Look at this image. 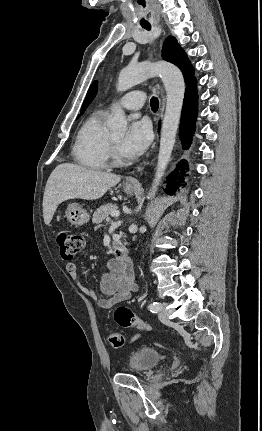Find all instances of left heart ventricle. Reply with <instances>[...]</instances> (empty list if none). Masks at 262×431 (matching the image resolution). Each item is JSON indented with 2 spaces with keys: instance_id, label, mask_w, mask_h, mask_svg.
<instances>
[{
  "instance_id": "obj_1",
  "label": "left heart ventricle",
  "mask_w": 262,
  "mask_h": 431,
  "mask_svg": "<svg viewBox=\"0 0 262 431\" xmlns=\"http://www.w3.org/2000/svg\"><path fill=\"white\" fill-rule=\"evenodd\" d=\"M122 136H112V140L117 144L121 141Z\"/></svg>"
}]
</instances>
